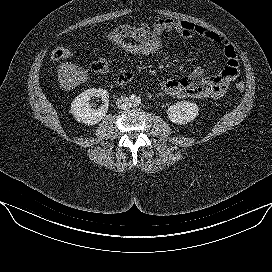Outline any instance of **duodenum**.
<instances>
[{
	"label": "duodenum",
	"instance_id": "obj_1",
	"mask_svg": "<svg viewBox=\"0 0 272 272\" xmlns=\"http://www.w3.org/2000/svg\"><path fill=\"white\" fill-rule=\"evenodd\" d=\"M128 81V78L126 76H122L120 78L117 79L116 83L118 85H123Z\"/></svg>",
	"mask_w": 272,
	"mask_h": 272
}]
</instances>
